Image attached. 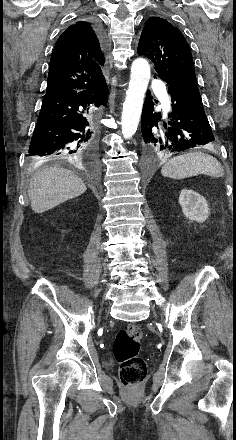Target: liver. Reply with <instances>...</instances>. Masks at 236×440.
<instances>
[{
  "label": "liver",
  "mask_w": 236,
  "mask_h": 440,
  "mask_svg": "<svg viewBox=\"0 0 236 440\" xmlns=\"http://www.w3.org/2000/svg\"><path fill=\"white\" fill-rule=\"evenodd\" d=\"M85 183L63 168H47L36 173L30 182L28 196L35 213H44L86 191Z\"/></svg>",
  "instance_id": "obj_1"
}]
</instances>
